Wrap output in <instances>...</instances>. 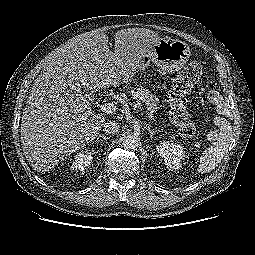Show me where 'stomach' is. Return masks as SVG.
Wrapping results in <instances>:
<instances>
[{
    "label": "stomach",
    "instance_id": "stomach-1",
    "mask_svg": "<svg viewBox=\"0 0 255 255\" xmlns=\"http://www.w3.org/2000/svg\"><path fill=\"white\" fill-rule=\"evenodd\" d=\"M187 43L171 38H159L153 47V53L143 57L144 70L151 62L165 73H175L182 69L190 57Z\"/></svg>",
    "mask_w": 255,
    "mask_h": 255
}]
</instances>
